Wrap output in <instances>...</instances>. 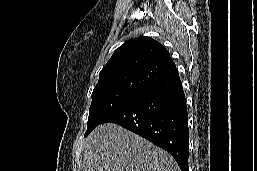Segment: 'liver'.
<instances>
[{"instance_id":"liver-1","label":"liver","mask_w":257,"mask_h":171,"mask_svg":"<svg viewBox=\"0 0 257 171\" xmlns=\"http://www.w3.org/2000/svg\"><path fill=\"white\" fill-rule=\"evenodd\" d=\"M83 171H180L173 157L119 125L96 127L86 139Z\"/></svg>"}]
</instances>
